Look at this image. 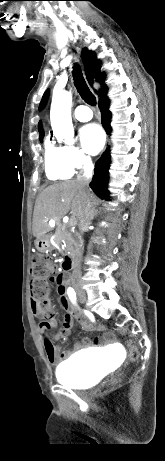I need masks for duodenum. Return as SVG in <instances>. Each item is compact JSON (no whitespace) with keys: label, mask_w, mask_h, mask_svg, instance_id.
Segmentation results:
<instances>
[{"label":"duodenum","mask_w":165,"mask_h":461,"mask_svg":"<svg viewBox=\"0 0 165 461\" xmlns=\"http://www.w3.org/2000/svg\"><path fill=\"white\" fill-rule=\"evenodd\" d=\"M78 253L79 252L72 253L71 255L65 257V259H64V268H65L66 271H70V270H72L74 268L76 256H77Z\"/></svg>","instance_id":"duodenum-1"}]
</instances>
